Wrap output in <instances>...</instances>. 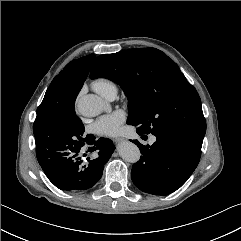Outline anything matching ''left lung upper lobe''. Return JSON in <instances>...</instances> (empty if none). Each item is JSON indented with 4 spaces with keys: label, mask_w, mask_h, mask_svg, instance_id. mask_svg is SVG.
<instances>
[{
    "label": "left lung upper lobe",
    "mask_w": 241,
    "mask_h": 241,
    "mask_svg": "<svg viewBox=\"0 0 241 241\" xmlns=\"http://www.w3.org/2000/svg\"><path fill=\"white\" fill-rule=\"evenodd\" d=\"M91 79L103 77L121 86L128 97L127 124L139 134L173 130L204 138L201 100L178 65L155 48L100 55Z\"/></svg>",
    "instance_id": "1"
}]
</instances>
